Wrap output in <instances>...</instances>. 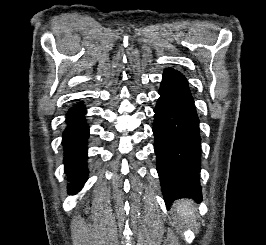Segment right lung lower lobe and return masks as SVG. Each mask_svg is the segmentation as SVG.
Wrapping results in <instances>:
<instances>
[{
	"label": "right lung lower lobe",
	"instance_id": "right-lung-lower-lobe-1",
	"mask_svg": "<svg viewBox=\"0 0 266 245\" xmlns=\"http://www.w3.org/2000/svg\"><path fill=\"white\" fill-rule=\"evenodd\" d=\"M83 104L71 107L66 113L67 127L63 132L64 168L68 175V193H77L87 180V139L89 126L85 124Z\"/></svg>",
	"mask_w": 266,
	"mask_h": 245
}]
</instances>
